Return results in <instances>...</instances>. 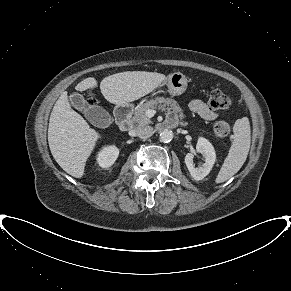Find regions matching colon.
Instances as JSON below:
<instances>
[{
    "mask_svg": "<svg viewBox=\"0 0 291 291\" xmlns=\"http://www.w3.org/2000/svg\"><path fill=\"white\" fill-rule=\"evenodd\" d=\"M208 104L213 110L225 109L230 105V99L221 90L214 89L210 92ZM230 123L221 119L214 125V133L219 137H225L230 133Z\"/></svg>",
    "mask_w": 291,
    "mask_h": 291,
    "instance_id": "obj_1",
    "label": "colon"
}]
</instances>
